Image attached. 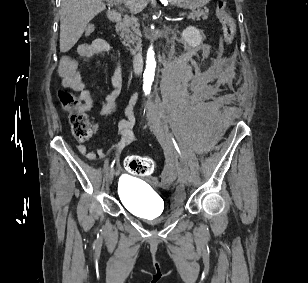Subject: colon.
I'll use <instances>...</instances> for the list:
<instances>
[{
	"instance_id": "colon-1",
	"label": "colon",
	"mask_w": 308,
	"mask_h": 283,
	"mask_svg": "<svg viewBox=\"0 0 308 283\" xmlns=\"http://www.w3.org/2000/svg\"><path fill=\"white\" fill-rule=\"evenodd\" d=\"M216 14L221 23L223 37L227 43H232L235 34V23L228 10L225 0H219L216 6ZM94 25L89 24L85 29V35L94 32ZM62 108L69 113V123L72 135L81 141L89 139L92 135V125L82 109L80 100L72 93L62 91L58 94ZM125 169L138 176H148L155 170V163L150 157L132 155L124 162Z\"/></svg>"
}]
</instances>
